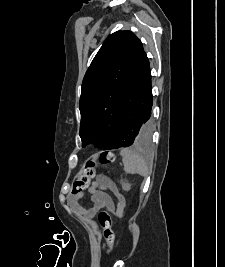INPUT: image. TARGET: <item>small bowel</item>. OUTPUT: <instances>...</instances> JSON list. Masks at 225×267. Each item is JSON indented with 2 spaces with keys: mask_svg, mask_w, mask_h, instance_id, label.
Masks as SVG:
<instances>
[{
  "mask_svg": "<svg viewBox=\"0 0 225 267\" xmlns=\"http://www.w3.org/2000/svg\"><path fill=\"white\" fill-rule=\"evenodd\" d=\"M104 191H109L116 198L117 208L115 207L112 197ZM86 196H89L92 202L90 208H87L82 203ZM120 199L125 200L113 180L107 176L99 175L86 192L72 194L69 197V204L75 211L82 214L90 224L96 226L94 217L101 209L107 208L117 217H122L123 210L119 208Z\"/></svg>",
  "mask_w": 225,
  "mask_h": 267,
  "instance_id": "c3829d8e",
  "label": "small bowel"
}]
</instances>
